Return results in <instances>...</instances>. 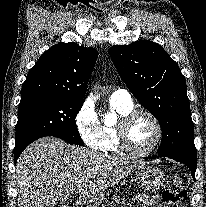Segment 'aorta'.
<instances>
[{
    "label": "aorta",
    "instance_id": "762f6f07",
    "mask_svg": "<svg viewBox=\"0 0 206 207\" xmlns=\"http://www.w3.org/2000/svg\"><path fill=\"white\" fill-rule=\"evenodd\" d=\"M115 121H116V115H114V114H108L104 118V122L106 124L113 123Z\"/></svg>",
    "mask_w": 206,
    "mask_h": 207
}]
</instances>
